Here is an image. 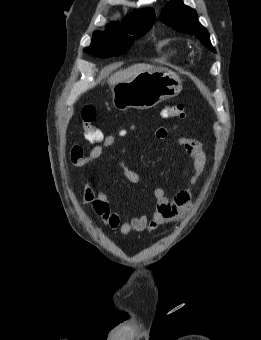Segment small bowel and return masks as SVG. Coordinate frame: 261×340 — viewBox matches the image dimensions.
Instances as JSON below:
<instances>
[{
	"label": "small bowel",
	"mask_w": 261,
	"mask_h": 340,
	"mask_svg": "<svg viewBox=\"0 0 261 340\" xmlns=\"http://www.w3.org/2000/svg\"><path fill=\"white\" fill-rule=\"evenodd\" d=\"M126 134L127 130L122 129L117 133L106 135L102 142L93 147L87 154L84 153L81 146L74 145L70 151L71 163L76 167L94 164L106 148L112 146L118 137H123ZM167 135L168 131L165 127H158L155 131V137L158 139H165ZM178 142L184 147L190 160L189 166L182 175V181H187L188 187L179 190L171 200L166 196L163 188H155L153 194L156 205L150 218L146 215L121 216L111 209L108 194L102 187L95 186L91 181H88L85 185L82 203L98 215L106 226L113 230H119L122 235H128L132 231H155L161 226L176 222L191 210L193 187L203 173L207 160L206 153L199 141L181 137ZM118 166L129 182L140 183L139 174L131 170L124 161L120 160Z\"/></svg>",
	"instance_id": "c3829d8e"
}]
</instances>
